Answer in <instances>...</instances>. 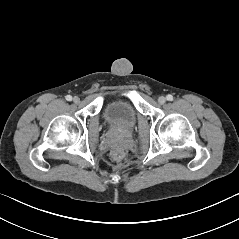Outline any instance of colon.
<instances>
[{
    "label": "colon",
    "instance_id": "colon-1",
    "mask_svg": "<svg viewBox=\"0 0 239 239\" xmlns=\"http://www.w3.org/2000/svg\"><path fill=\"white\" fill-rule=\"evenodd\" d=\"M127 150L123 147H117L112 151V158L116 161H122L127 157Z\"/></svg>",
    "mask_w": 239,
    "mask_h": 239
}]
</instances>
